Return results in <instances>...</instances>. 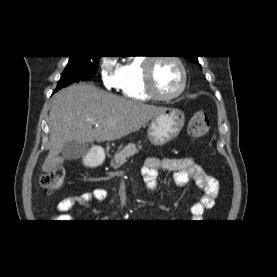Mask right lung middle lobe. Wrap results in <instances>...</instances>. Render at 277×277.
<instances>
[{"label":"right lung middle lobe","instance_id":"dd1d6c3e","mask_svg":"<svg viewBox=\"0 0 277 277\" xmlns=\"http://www.w3.org/2000/svg\"><path fill=\"white\" fill-rule=\"evenodd\" d=\"M100 56L97 57H79L70 56L57 88H62L70 83L80 80L90 79L97 70Z\"/></svg>","mask_w":277,"mask_h":277}]
</instances>
